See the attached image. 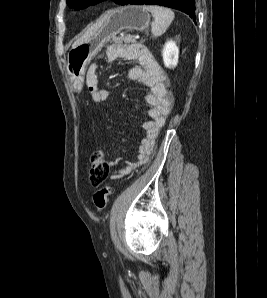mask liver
Here are the masks:
<instances>
[{
    "label": "liver",
    "mask_w": 267,
    "mask_h": 298,
    "mask_svg": "<svg viewBox=\"0 0 267 298\" xmlns=\"http://www.w3.org/2000/svg\"><path fill=\"white\" fill-rule=\"evenodd\" d=\"M104 21H105L104 19H101L98 22H96L94 25L89 27L87 31L74 42V44L72 45V48L88 41L98 31V29L102 26Z\"/></svg>",
    "instance_id": "6515ba94"
}]
</instances>
